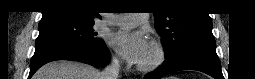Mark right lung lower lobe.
Here are the masks:
<instances>
[{
  "label": "right lung lower lobe",
  "instance_id": "1",
  "mask_svg": "<svg viewBox=\"0 0 255 79\" xmlns=\"http://www.w3.org/2000/svg\"><path fill=\"white\" fill-rule=\"evenodd\" d=\"M109 51L102 41L96 46H75L68 44H45L36 47L30 63L31 78L44 64L55 60H73L93 66H101L108 62Z\"/></svg>",
  "mask_w": 255,
  "mask_h": 79
}]
</instances>
